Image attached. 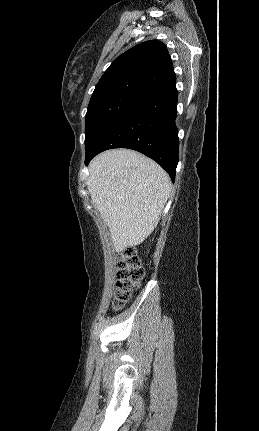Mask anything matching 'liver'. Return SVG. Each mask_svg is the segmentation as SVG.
<instances>
[{
  "label": "liver",
  "mask_w": 259,
  "mask_h": 431,
  "mask_svg": "<svg viewBox=\"0 0 259 431\" xmlns=\"http://www.w3.org/2000/svg\"><path fill=\"white\" fill-rule=\"evenodd\" d=\"M87 188L110 230L115 251L120 252L140 244L157 226L171 181L150 158L115 149L91 161Z\"/></svg>",
  "instance_id": "1"
}]
</instances>
